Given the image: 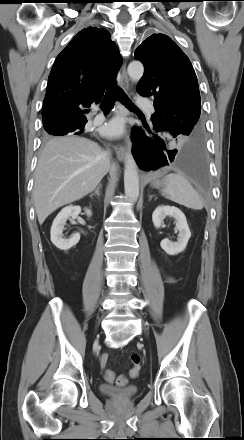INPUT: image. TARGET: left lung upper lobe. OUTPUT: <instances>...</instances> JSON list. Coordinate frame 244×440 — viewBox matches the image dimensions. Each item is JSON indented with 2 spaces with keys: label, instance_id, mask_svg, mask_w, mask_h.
<instances>
[{
  "label": "left lung upper lobe",
  "instance_id": "left-lung-upper-lobe-1",
  "mask_svg": "<svg viewBox=\"0 0 244 440\" xmlns=\"http://www.w3.org/2000/svg\"><path fill=\"white\" fill-rule=\"evenodd\" d=\"M144 65L137 91L152 96L156 120L174 138L203 134L198 80L189 58L165 34H153L135 51Z\"/></svg>",
  "mask_w": 244,
  "mask_h": 440
}]
</instances>
